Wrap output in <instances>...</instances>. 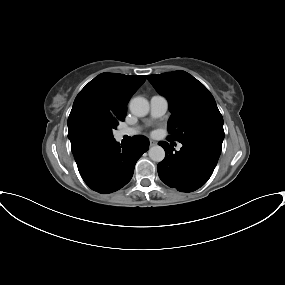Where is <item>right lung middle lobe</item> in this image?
I'll return each mask as SVG.
<instances>
[{"instance_id": "right-lung-middle-lobe-1", "label": "right lung middle lobe", "mask_w": 285, "mask_h": 285, "mask_svg": "<svg viewBox=\"0 0 285 285\" xmlns=\"http://www.w3.org/2000/svg\"><path fill=\"white\" fill-rule=\"evenodd\" d=\"M119 121L88 119L82 126V137L87 143H104L114 140L112 131L116 129Z\"/></svg>"}]
</instances>
